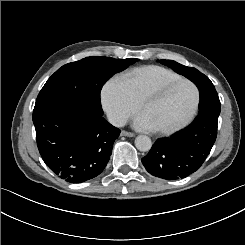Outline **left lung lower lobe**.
Returning a JSON list of instances; mask_svg holds the SVG:
<instances>
[{"instance_id":"0a47b994","label":"left lung lower lobe","mask_w":245,"mask_h":245,"mask_svg":"<svg viewBox=\"0 0 245 245\" xmlns=\"http://www.w3.org/2000/svg\"><path fill=\"white\" fill-rule=\"evenodd\" d=\"M200 92L199 115L186 129L158 139L142 158L146 170L165 180L183 179L198 170L217 136L220 100L208 79L196 84Z\"/></svg>"}]
</instances>
